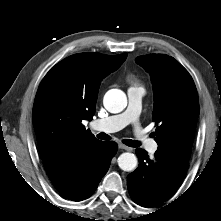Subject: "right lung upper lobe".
<instances>
[{
    "instance_id": "obj_1",
    "label": "right lung upper lobe",
    "mask_w": 221,
    "mask_h": 221,
    "mask_svg": "<svg viewBox=\"0 0 221 221\" xmlns=\"http://www.w3.org/2000/svg\"><path fill=\"white\" fill-rule=\"evenodd\" d=\"M127 53H81L56 64L42 80L33 107V125L44 163L97 143L82 124L95 113L100 81L115 71Z\"/></svg>"
}]
</instances>
